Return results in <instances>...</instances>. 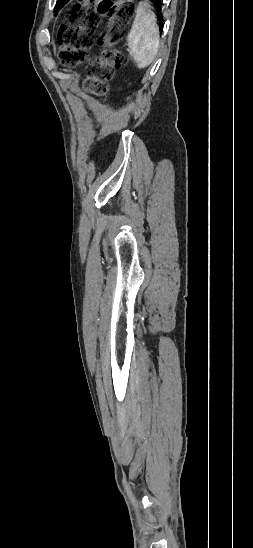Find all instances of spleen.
<instances>
[{
    "mask_svg": "<svg viewBox=\"0 0 253 548\" xmlns=\"http://www.w3.org/2000/svg\"><path fill=\"white\" fill-rule=\"evenodd\" d=\"M127 42L138 68H146L154 61L159 48V27L156 15L145 2L137 7Z\"/></svg>",
    "mask_w": 253,
    "mask_h": 548,
    "instance_id": "obj_1",
    "label": "spleen"
}]
</instances>
